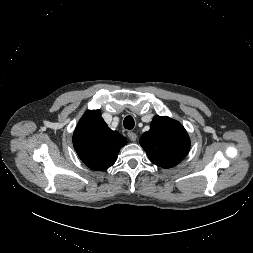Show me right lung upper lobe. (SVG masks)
<instances>
[{
    "label": "right lung upper lobe",
    "mask_w": 253,
    "mask_h": 253,
    "mask_svg": "<svg viewBox=\"0 0 253 253\" xmlns=\"http://www.w3.org/2000/svg\"><path fill=\"white\" fill-rule=\"evenodd\" d=\"M126 143L125 137L107 126L99 110L87 111L73 134V145L79 158L96 171L112 166Z\"/></svg>",
    "instance_id": "1"
}]
</instances>
